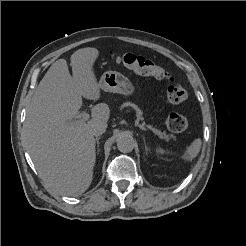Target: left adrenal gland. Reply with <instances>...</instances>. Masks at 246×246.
Masks as SVG:
<instances>
[{
  "instance_id": "a2214340",
  "label": "left adrenal gland",
  "mask_w": 246,
  "mask_h": 246,
  "mask_svg": "<svg viewBox=\"0 0 246 246\" xmlns=\"http://www.w3.org/2000/svg\"><path fill=\"white\" fill-rule=\"evenodd\" d=\"M144 145H145V150L148 151V147L146 145L145 139H144Z\"/></svg>"
}]
</instances>
